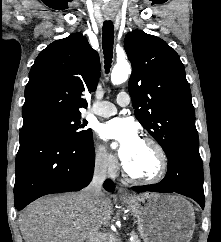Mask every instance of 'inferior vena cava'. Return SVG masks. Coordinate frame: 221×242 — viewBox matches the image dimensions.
<instances>
[{
  "instance_id": "inferior-vena-cava-1",
  "label": "inferior vena cava",
  "mask_w": 221,
  "mask_h": 242,
  "mask_svg": "<svg viewBox=\"0 0 221 242\" xmlns=\"http://www.w3.org/2000/svg\"><path fill=\"white\" fill-rule=\"evenodd\" d=\"M106 174V161H98L95 165L92 181L82 193L83 204L89 211H92L98 205L99 199L103 195L102 185L106 179Z\"/></svg>"
}]
</instances>
